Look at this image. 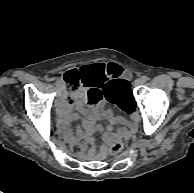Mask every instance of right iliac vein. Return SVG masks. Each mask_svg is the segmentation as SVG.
Returning a JSON list of instances; mask_svg holds the SVG:
<instances>
[{
    "label": "right iliac vein",
    "mask_w": 194,
    "mask_h": 193,
    "mask_svg": "<svg viewBox=\"0 0 194 193\" xmlns=\"http://www.w3.org/2000/svg\"><path fill=\"white\" fill-rule=\"evenodd\" d=\"M56 84L58 87V97L61 99L63 96V88H62V85L60 83H56ZM58 114H59V112H58Z\"/></svg>",
    "instance_id": "right-iliac-vein-1"
}]
</instances>
